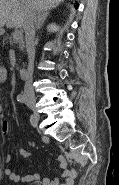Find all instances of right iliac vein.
<instances>
[{
    "instance_id": "right-iliac-vein-1",
    "label": "right iliac vein",
    "mask_w": 119,
    "mask_h": 185,
    "mask_svg": "<svg viewBox=\"0 0 119 185\" xmlns=\"http://www.w3.org/2000/svg\"><path fill=\"white\" fill-rule=\"evenodd\" d=\"M26 104L28 105V107L33 111V114L31 116V121H34L35 123L33 125L37 126L39 119H40V115L36 109V101L33 98H29L26 100Z\"/></svg>"
}]
</instances>
